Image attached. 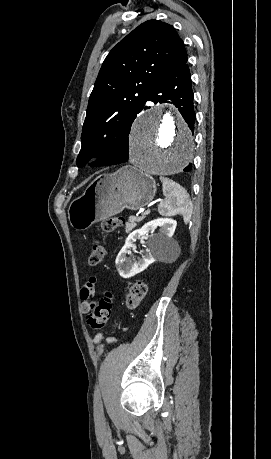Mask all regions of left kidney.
<instances>
[{"mask_svg":"<svg viewBox=\"0 0 271 459\" xmlns=\"http://www.w3.org/2000/svg\"><path fill=\"white\" fill-rule=\"evenodd\" d=\"M176 226V220H171V218H158V220L147 222V224H144L140 229L131 231L128 237H126L125 245H123L116 257V265L120 275H122V277H132V275H136V273H140V271L146 269L149 263L156 261L154 255H160V253H165V251H175L176 247L174 243H172V235ZM156 228H160V233H158V235H153L150 241H148L150 251L142 255V259H139V261H132V259L126 257L135 239H138L141 235H145V233H148L151 229Z\"/></svg>","mask_w":271,"mask_h":459,"instance_id":"1","label":"left kidney"}]
</instances>
